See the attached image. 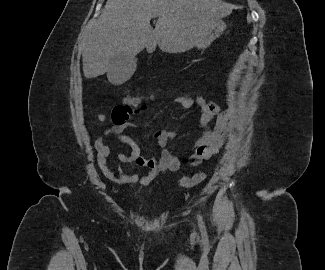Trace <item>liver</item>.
Wrapping results in <instances>:
<instances>
[{
  "instance_id": "liver-1",
  "label": "liver",
  "mask_w": 325,
  "mask_h": 270,
  "mask_svg": "<svg viewBox=\"0 0 325 270\" xmlns=\"http://www.w3.org/2000/svg\"><path fill=\"white\" fill-rule=\"evenodd\" d=\"M232 7L221 0H107L100 17L82 45L83 73L95 78L107 73L110 83L121 85L125 77L108 74L111 59L130 58L144 48L181 53L199 46L215 22L230 15ZM158 17L155 29L150 25Z\"/></svg>"
}]
</instances>
